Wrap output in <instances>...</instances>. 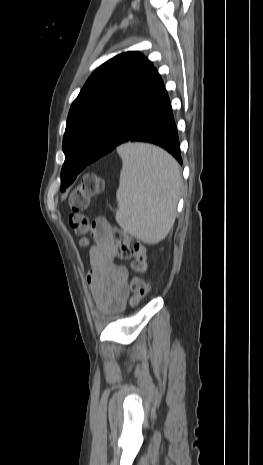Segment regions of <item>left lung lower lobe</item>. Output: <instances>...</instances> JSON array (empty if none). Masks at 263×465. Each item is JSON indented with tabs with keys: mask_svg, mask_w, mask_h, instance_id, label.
Wrapping results in <instances>:
<instances>
[{
	"mask_svg": "<svg viewBox=\"0 0 263 465\" xmlns=\"http://www.w3.org/2000/svg\"><path fill=\"white\" fill-rule=\"evenodd\" d=\"M130 141L156 144L171 153L182 164L179 138L169 97L154 67L136 96L118 110L111 127L102 136L93 155L86 161L68 156L61 175L67 178V183L70 185L78 169H84L113 151L118 145Z\"/></svg>",
	"mask_w": 263,
	"mask_h": 465,
	"instance_id": "obj_1",
	"label": "left lung lower lobe"
}]
</instances>
